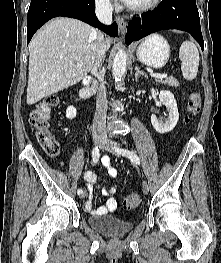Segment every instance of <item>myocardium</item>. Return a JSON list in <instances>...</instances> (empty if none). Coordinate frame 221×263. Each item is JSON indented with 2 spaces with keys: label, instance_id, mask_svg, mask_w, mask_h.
Here are the masks:
<instances>
[{
  "label": "myocardium",
  "instance_id": "f54148a6",
  "mask_svg": "<svg viewBox=\"0 0 221 263\" xmlns=\"http://www.w3.org/2000/svg\"><path fill=\"white\" fill-rule=\"evenodd\" d=\"M160 1L161 0H149L143 4H138V5L130 4L128 5V8L129 10L136 13H144L156 8L159 5Z\"/></svg>",
  "mask_w": 221,
  "mask_h": 263
}]
</instances>
